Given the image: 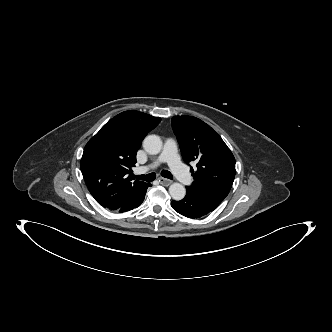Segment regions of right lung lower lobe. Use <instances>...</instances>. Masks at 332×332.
Masks as SVG:
<instances>
[{
    "label": "right lung lower lobe",
    "mask_w": 332,
    "mask_h": 332,
    "mask_svg": "<svg viewBox=\"0 0 332 332\" xmlns=\"http://www.w3.org/2000/svg\"><path fill=\"white\" fill-rule=\"evenodd\" d=\"M149 186H151V184L146 183L133 196H131L129 199H127L122 204L115 205V206H110V207H107V208L110 209V210L121 212V213L132 210L134 208H137L143 202L146 191H147V188Z\"/></svg>",
    "instance_id": "obj_1"
}]
</instances>
